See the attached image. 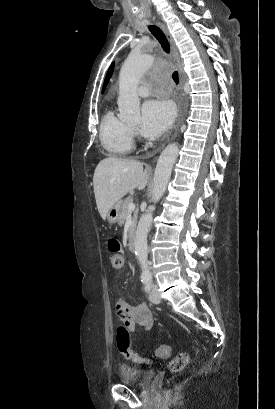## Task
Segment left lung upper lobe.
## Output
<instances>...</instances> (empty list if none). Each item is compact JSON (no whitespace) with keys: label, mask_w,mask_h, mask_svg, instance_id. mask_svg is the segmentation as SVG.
<instances>
[{"label":"left lung upper lobe","mask_w":275,"mask_h":409,"mask_svg":"<svg viewBox=\"0 0 275 409\" xmlns=\"http://www.w3.org/2000/svg\"><path fill=\"white\" fill-rule=\"evenodd\" d=\"M113 70H114V62L111 64V66H110L109 69H108V72H107L106 77H105V80H104L102 92H104V90H105V88H106V86H107V84H108V82H109V79H110L111 76H112Z\"/></svg>","instance_id":"obj_1"}]
</instances>
